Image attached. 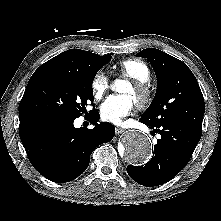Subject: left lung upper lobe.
<instances>
[{
	"label": "left lung upper lobe",
	"instance_id": "left-lung-upper-lobe-1",
	"mask_svg": "<svg viewBox=\"0 0 221 221\" xmlns=\"http://www.w3.org/2000/svg\"><path fill=\"white\" fill-rule=\"evenodd\" d=\"M137 56L150 61L157 77L156 95L140 121L149 128L170 121H181L201 130L204 98L188 66L155 48L144 49Z\"/></svg>",
	"mask_w": 221,
	"mask_h": 221
}]
</instances>
